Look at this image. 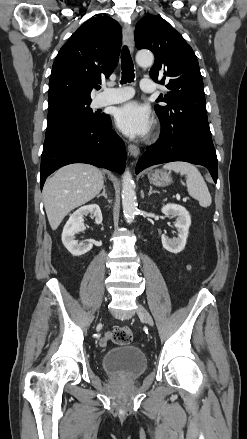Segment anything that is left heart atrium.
<instances>
[{
	"instance_id": "left-heart-atrium-1",
	"label": "left heart atrium",
	"mask_w": 247,
	"mask_h": 439,
	"mask_svg": "<svg viewBox=\"0 0 247 439\" xmlns=\"http://www.w3.org/2000/svg\"><path fill=\"white\" fill-rule=\"evenodd\" d=\"M115 122L119 130L130 137L146 136L152 126L149 109L137 102H129L117 108Z\"/></svg>"
}]
</instances>
